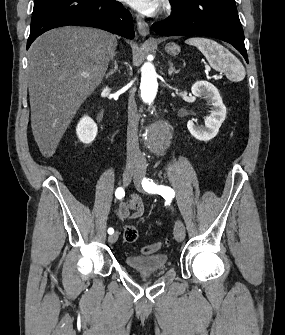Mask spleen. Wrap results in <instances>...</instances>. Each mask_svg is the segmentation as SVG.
Returning a JSON list of instances; mask_svg holds the SVG:
<instances>
[{
	"label": "spleen",
	"mask_w": 285,
	"mask_h": 335,
	"mask_svg": "<svg viewBox=\"0 0 285 335\" xmlns=\"http://www.w3.org/2000/svg\"><path fill=\"white\" fill-rule=\"evenodd\" d=\"M185 44L196 46L214 70H216L217 64L222 58H226V64L230 58H233L232 54H230L226 48H223V46H220V44H217L214 40H207V38H189V40H185ZM226 64H224V66H226ZM236 66L237 68L238 66L241 68L240 62H237ZM243 76H245V72H243Z\"/></svg>",
	"instance_id": "3e777b00"
}]
</instances>
